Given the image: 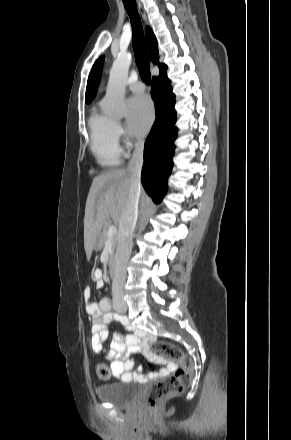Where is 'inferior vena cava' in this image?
<instances>
[{
	"label": "inferior vena cava",
	"mask_w": 291,
	"mask_h": 440,
	"mask_svg": "<svg viewBox=\"0 0 291 440\" xmlns=\"http://www.w3.org/2000/svg\"><path fill=\"white\" fill-rule=\"evenodd\" d=\"M143 150L144 141L140 140L135 144V150L126 170L130 175L131 186L129 197L119 222L115 270L112 282L113 302L122 305H125L126 269L132 251L133 232L138 218Z\"/></svg>",
	"instance_id": "obj_1"
}]
</instances>
